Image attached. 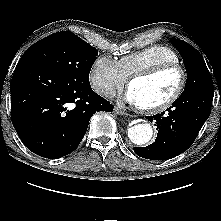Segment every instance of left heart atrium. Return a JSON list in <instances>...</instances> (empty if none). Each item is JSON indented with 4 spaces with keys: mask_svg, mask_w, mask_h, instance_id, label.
<instances>
[{
    "mask_svg": "<svg viewBox=\"0 0 221 221\" xmlns=\"http://www.w3.org/2000/svg\"><path fill=\"white\" fill-rule=\"evenodd\" d=\"M125 99L132 104L138 105L135 94L133 93V91L130 88L128 89V91L125 94Z\"/></svg>",
    "mask_w": 221,
    "mask_h": 221,
    "instance_id": "39dd6f15",
    "label": "left heart atrium"
}]
</instances>
